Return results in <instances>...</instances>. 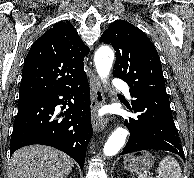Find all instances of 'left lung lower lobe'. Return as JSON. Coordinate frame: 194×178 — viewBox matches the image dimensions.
Listing matches in <instances>:
<instances>
[{
  "instance_id": "1",
  "label": "left lung lower lobe",
  "mask_w": 194,
  "mask_h": 178,
  "mask_svg": "<svg viewBox=\"0 0 194 178\" xmlns=\"http://www.w3.org/2000/svg\"><path fill=\"white\" fill-rule=\"evenodd\" d=\"M130 95L134 100L131 102L132 109H129L139 115L137 119L130 118L129 122H125L130 137L121 154L156 149L178 154L185 161L168 95L136 89H130Z\"/></svg>"
}]
</instances>
